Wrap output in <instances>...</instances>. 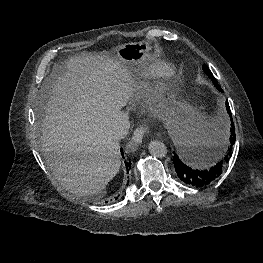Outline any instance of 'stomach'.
<instances>
[{
    "label": "stomach",
    "mask_w": 263,
    "mask_h": 263,
    "mask_svg": "<svg viewBox=\"0 0 263 263\" xmlns=\"http://www.w3.org/2000/svg\"><path fill=\"white\" fill-rule=\"evenodd\" d=\"M150 50L151 47L147 42H132L119 46L116 49V55H118L128 64L142 65L144 62H146ZM165 109L167 110L166 116L168 117V124L175 129L178 125V121L176 119H172V116L174 115V110L167 106H165ZM191 158L196 162V157L191 155Z\"/></svg>",
    "instance_id": "1"
}]
</instances>
